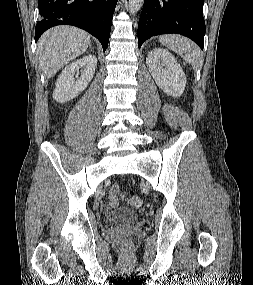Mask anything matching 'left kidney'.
I'll use <instances>...</instances> for the list:
<instances>
[{"instance_id":"5707ae66","label":"left kidney","mask_w":253,"mask_h":285,"mask_svg":"<svg viewBox=\"0 0 253 285\" xmlns=\"http://www.w3.org/2000/svg\"><path fill=\"white\" fill-rule=\"evenodd\" d=\"M146 65L157 86L167 95L179 97L186 86V76L175 57L166 49L156 48L150 51Z\"/></svg>"}]
</instances>
